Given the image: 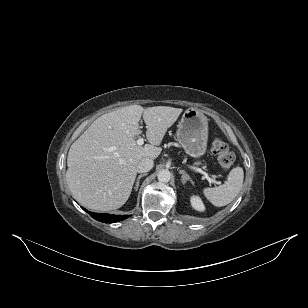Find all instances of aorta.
<instances>
[{
  "label": "aorta",
  "mask_w": 308,
  "mask_h": 308,
  "mask_svg": "<svg viewBox=\"0 0 308 308\" xmlns=\"http://www.w3.org/2000/svg\"><path fill=\"white\" fill-rule=\"evenodd\" d=\"M158 181L161 183H168L171 179V173L168 170H161L157 175Z\"/></svg>",
  "instance_id": "762f6f07"
}]
</instances>
